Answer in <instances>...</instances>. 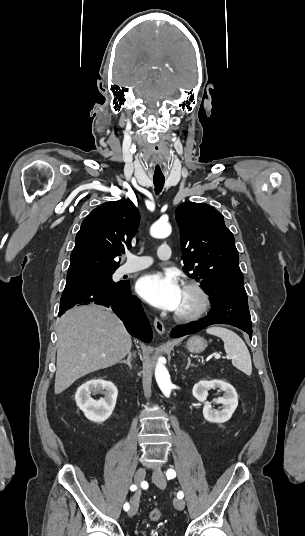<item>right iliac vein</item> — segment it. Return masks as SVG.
Segmentation results:
<instances>
[{
	"label": "right iliac vein",
	"instance_id": "63e3f726",
	"mask_svg": "<svg viewBox=\"0 0 305 536\" xmlns=\"http://www.w3.org/2000/svg\"><path fill=\"white\" fill-rule=\"evenodd\" d=\"M144 478H145V470L138 469L134 477L135 482L139 485L144 480ZM139 499H140V492L137 491L131 501V508L128 513L129 517H133L136 514L138 510Z\"/></svg>",
	"mask_w": 305,
	"mask_h": 536
}]
</instances>
